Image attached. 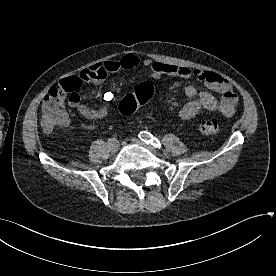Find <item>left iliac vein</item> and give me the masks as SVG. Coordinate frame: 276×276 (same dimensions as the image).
<instances>
[{
    "instance_id": "1",
    "label": "left iliac vein",
    "mask_w": 276,
    "mask_h": 276,
    "mask_svg": "<svg viewBox=\"0 0 276 276\" xmlns=\"http://www.w3.org/2000/svg\"><path fill=\"white\" fill-rule=\"evenodd\" d=\"M131 141H132V143L143 146V147L147 148L149 151H151L152 153L157 154V151L152 146L144 143L140 139L132 138Z\"/></svg>"
}]
</instances>
